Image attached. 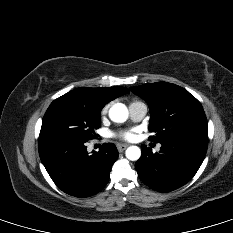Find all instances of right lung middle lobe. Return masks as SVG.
<instances>
[{"label": "right lung middle lobe", "mask_w": 233, "mask_h": 233, "mask_svg": "<svg viewBox=\"0 0 233 233\" xmlns=\"http://www.w3.org/2000/svg\"><path fill=\"white\" fill-rule=\"evenodd\" d=\"M100 111L66 93L55 99L47 109L39 139L63 137L88 141L101 125Z\"/></svg>", "instance_id": "right-lung-middle-lobe-1"}]
</instances>
